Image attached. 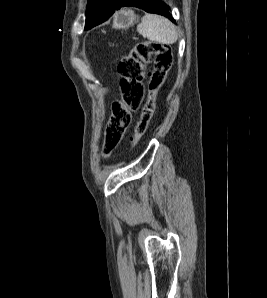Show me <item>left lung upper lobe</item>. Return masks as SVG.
<instances>
[{
  "mask_svg": "<svg viewBox=\"0 0 267 298\" xmlns=\"http://www.w3.org/2000/svg\"><path fill=\"white\" fill-rule=\"evenodd\" d=\"M116 0H88L86 23L90 18L109 9Z\"/></svg>",
  "mask_w": 267,
  "mask_h": 298,
  "instance_id": "obj_1",
  "label": "left lung upper lobe"
}]
</instances>
